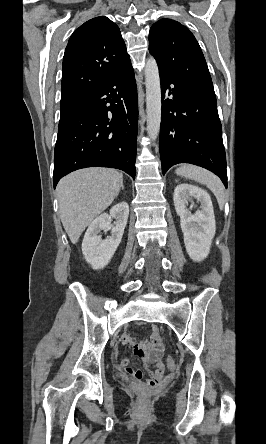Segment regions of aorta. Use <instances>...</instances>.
<instances>
[{"mask_svg": "<svg viewBox=\"0 0 266 444\" xmlns=\"http://www.w3.org/2000/svg\"><path fill=\"white\" fill-rule=\"evenodd\" d=\"M147 134L156 140L161 123V87L156 60L149 57L145 65Z\"/></svg>", "mask_w": 266, "mask_h": 444, "instance_id": "762f6f07", "label": "aorta"}]
</instances>
